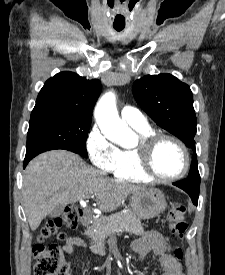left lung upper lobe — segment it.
<instances>
[{"label": "left lung upper lobe", "mask_w": 225, "mask_h": 275, "mask_svg": "<svg viewBox=\"0 0 225 275\" xmlns=\"http://www.w3.org/2000/svg\"><path fill=\"white\" fill-rule=\"evenodd\" d=\"M133 93L137 103L160 127L195 151L197 121L192 92L187 84L167 73L147 75L134 82ZM189 177L200 179L196 152Z\"/></svg>", "instance_id": "obj_1"}]
</instances>
